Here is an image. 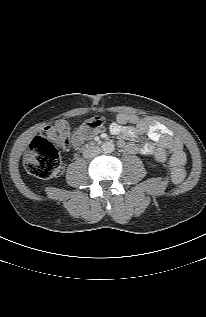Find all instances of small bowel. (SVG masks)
Here are the masks:
<instances>
[{
	"label": "small bowel",
	"mask_w": 206,
	"mask_h": 317,
	"mask_svg": "<svg viewBox=\"0 0 206 317\" xmlns=\"http://www.w3.org/2000/svg\"><path fill=\"white\" fill-rule=\"evenodd\" d=\"M110 132L114 135L134 137L146 134L151 142L143 145L120 142L128 152L151 156L155 161L163 163L171 154L181 152L182 143L165 125L146 117H140L128 112L117 115L116 122L110 125ZM82 140L74 137V144L79 145Z\"/></svg>",
	"instance_id": "obj_1"
}]
</instances>
